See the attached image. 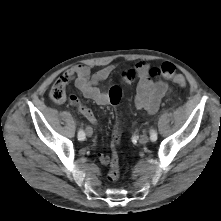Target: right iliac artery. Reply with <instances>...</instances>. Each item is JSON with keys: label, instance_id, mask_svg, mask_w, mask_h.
<instances>
[{"label": "right iliac artery", "instance_id": "82829eb1", "mask_svg": "<svg viewBox=\"0 0 221 221\" xmlns=\"http://www.w3.org/2000/svg\"><path fill=\"white\" fill-rule=\"evenodd\" d=\"M85 139V133L83 130H79L78 132V140L83 141Z\"/></svg>", "mask_w": 221, "mask_h": 221}]
</instances>
